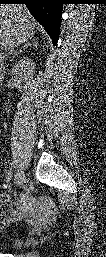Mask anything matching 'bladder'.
<instances>
[{"label": "bladder", "instance_id": "bladder-1", "mask_svg": "<svg viewBox=\"0 0 106 257\" xmlns=\"http://www.w3.org/2000/svg\"><path fill=\"white\" fill-rule=\"evenodd\" d=\"M23 241L21 238H14L10 244H9V247L11 249H18L21 245H22Z\"/></svg>", "mask_w": 106, "mask_h": 257}]
</instances>
